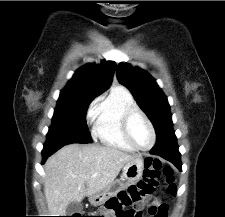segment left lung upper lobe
Returning <instances> with one entry per match:
<instances>
[{
  "label": "left lung upper lobe",
  "instance_id": "1",
  "mask_svg": "<svg viewBox=\"0 0 225 217\" xmlns=\"http://www.w3.org/2000/svg\"><path fill=\"white\" fill-rule=\"evenodd\" d=\"M117 78L131 91L140 108L154 125L156 144L151 151L156 153L178 147L170 106L155 80L143 69L127 63L118 64Z\"/></svg>",
  "mask_w": 225,
  "mask_h": 217
}]
</instances>
